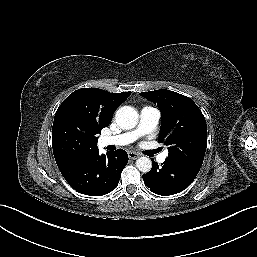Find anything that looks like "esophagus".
<instances>
[{
    "mask_svg": "<svg viewBox=\"0 0 257 257\" xmlns=\"http://www.w3.org/2000/svg\"><path fill=\"white\" fill-rule=\"evenodd\" d=\"M139 156H140V154L137 153V152L131 151V152L128 153V157H129L130 159H132V160L137 159Z\"/></svg>",
    "mask_w": 257,
    "mask_h": 257,
    "instance_id": "1",
    "label": "esophagus"
}]
</instances>
